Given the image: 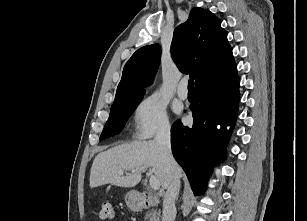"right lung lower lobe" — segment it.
Here are the masks:
<instances>
[{
    "instance_id": "1",
    "label": "right lung lower lobe",
    "mask_w": 307,
    "mask_h": 221,
    "mask_svg": "<svg viewBox=\"0 0 307 221\" xmlns=\"http://www.w3.org/2000/svg\"><path fill=\"white\" fill-rule=\"evenodd\" d=\"M239 78L225 84L196 92L190 105L191 128L180 121L171 129L172 151L185 171L195 195L203 192L215 163L225 157V148L238 112ZM217 125L221 128L217 129Z\"/></svg>"
}]
</instances>
